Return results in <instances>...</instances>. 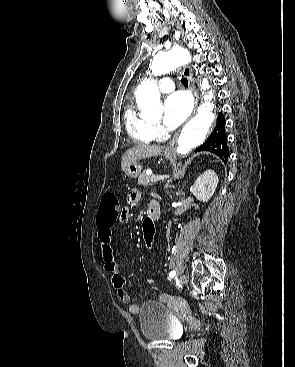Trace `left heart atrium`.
<instances>
[{"instance_id": "39dd6f15", "label": "left heart atrium", "mask_w": 295, "mask_h": 367, "mask_svg": "<svg viewBox=\"0 0 295 367\" xmlns=\"http://www.w3.org/2000/svg\"><path fill=\"white\" fill-rule=\"evenodd\" d=\"M192 102L189 95L177 91L169 95L164 104V124L169 129L178 127L189 116Z\"/></svg>"}]
</instances>
